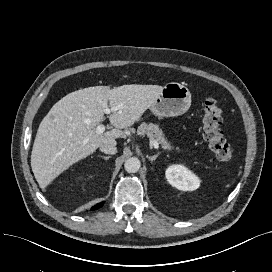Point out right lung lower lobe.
Segmentation results:
<instances>
[{"instance_id":"98d812e1","label":"right lung lower lobe","mask_w":272,"mask_h":272,"mask_svg":"<svg viewBox=\"0 0 272 272\" xmlns=\"http://www.w3.org/2000/svg\"><path fill=\"white\" fill-rule=\"evenodd\" d=\"M101 206H103V202H101V203L95 205L94 207H92V210L98 209V208H100Z\"/></svg>"}]
</instances>
